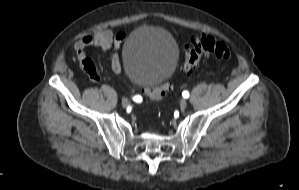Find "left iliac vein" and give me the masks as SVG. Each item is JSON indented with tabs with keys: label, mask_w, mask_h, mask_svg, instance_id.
I'll return each mask as SVG.
<instances>
[{
	"label": "left iliac vein",
	"mask_w": 299,
	"mask_h": 190,
	"mask_svg": "<svg viewBox=\"0 0 299 190\" xmlns=\"http://www.w3.org/2000/svg\"><path fill=\"white\" fill-rule=\"evenodd\" d=\"M187 107V101L186 100H181L180 101V108L182 109V110H184L185 108Z\"/></svg>",
	"instance_id": "left-iliac-vein-1"
}]
</instances>
